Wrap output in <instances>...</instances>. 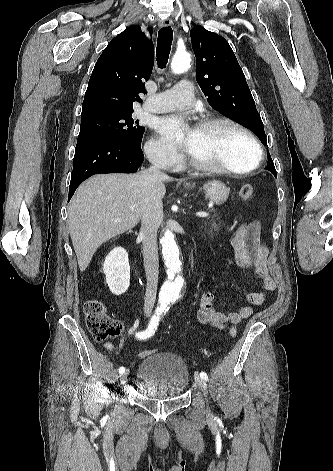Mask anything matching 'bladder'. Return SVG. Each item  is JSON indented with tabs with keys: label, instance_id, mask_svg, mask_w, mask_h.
<instances>
[{
	"label": "bladder",
	"instance_id": "obj_1",
	"mask_svg": "<svg viewBox=\"0 0 333 471\" xmlns=\"http://www.w3.org/2000/svg\"><path fill=\"white\" fill-rule=\"evenodd\" d=\"M137 380L145 396L155 400L181 397L190 383L185 361L173 352H156L144 358L138 366Z\"/></svg>",
	"mask_w": 333,
	"mask_h": 471
}]
</instances>
